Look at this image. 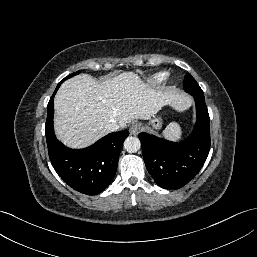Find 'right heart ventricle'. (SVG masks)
I'll return each mask as SVG.
<instances>
[{
    "instance_id": "e07e8e85",
    "label": "right heart ventricle",
    "mask_w": 257,
    "mask_h": 257,
    "mask_svg": "<svg viewBox=\"0 0 257 257\" xmlns=\"http://www.w3.org/2000/svg\"><path fill=\"white\" fill-rule=\"evenodd\" d=\"M167 72H159L152 76L151 80L153 83H161L167 78Z\"/></svg>"
}]
</instances>
